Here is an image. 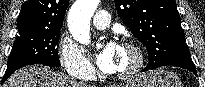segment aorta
Segmentation results:
<instances>
[{
    "instance_id": "obj_1",
    "label": "aorta",
    "mask_w": 205,
    "mask_h": 87,
    "mask_svg": "<svg viewBox=\"0 0 205 87\" xmlns=\"http://www.w3.org/2000/svg\"><path fill=\"white\" fill-rule=\"evenodd\" d=\"M99 0H76L68 13V27L73 38L83 45L91 42L90 20Z\"/></svg>"
}]
</instances>
